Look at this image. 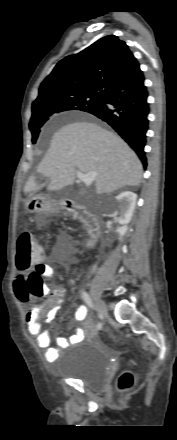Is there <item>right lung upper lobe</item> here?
<instances>
[{
  "label": "right lung upper lobe",
  "instance_id": "cb5924a9",
  "mask_svg": "<svg viewBox=\"0 0 177 440\" xmlns=\"http://www.w3.org/2000/svg\"><path fill=\"white\" fill-rule=\"evenodd\" d=\"M139 63L117 36L103 37L83 51L65 57L45 78L32 108L70 94H105L138 71Z\"/></svg>",
  "mask_w": 177,
  "mask_h": 440
}]
</instances>
